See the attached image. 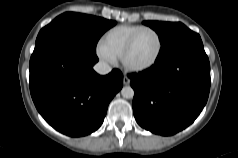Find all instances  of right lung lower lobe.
I'll use <instances>...</instances> for the list:
<instances>
[{
  "label": "right lung lower lobe",
  "mask_w": 238,
  "mask_h": 158,
  "mask_svg": "<svg viewBox=\"0 0 238 158\" xmlns=\"http://www.w3.org/2000/svg\"><path fill=\"white\" fill-rule=\"evenodd\" d=\"M98 61L73 41L53 36L43 40L30 59V92L42 117L57 131L80 137L97 130L108 105L122 88L118 69L100 76L93 70Z\"/></svg>",
  "instance_id": "right-lung-lower-lobe-1"
}]
</instances>
